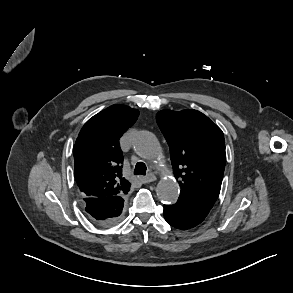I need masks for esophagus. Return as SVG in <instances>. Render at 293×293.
<instances>
[{"label": "esophagus", "mask_w": 293, "mask_h": 293, "mask_svg": "<svg viewBox=\"0 0 293 293\" xmlns=\"http://www.w3.org/2000/svg\"><path fill=\"white\" fill-rule=\"evenodd\" d=\"M156 180V177L153 174H148L145 177L141 178L143 184L150 183Z\"/></svg>", "instance_id": "obj_1"}]
</instances>
